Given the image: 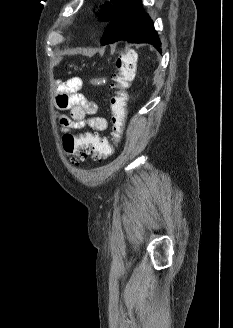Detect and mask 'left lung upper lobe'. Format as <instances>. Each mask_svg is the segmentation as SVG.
<instances>
[{
	"mask_svg": "<svg viewBox=\"0 0 233 328\" xmlns=\"http://www.w3.org/2000/svg\"><path fill=\"white\" fill-rule=\"evenodd\" d=\"M129 0H110L102 6L100 18L102 21L111 22L128 3Z\"/></svg>",
	"mask_w": 233,
	"mask_h": 328,
	"instance_id": "1",
	"label": "left lung upper lobe"
}]
</instances>
